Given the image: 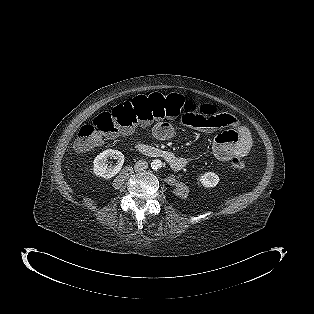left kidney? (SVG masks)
I'll list each match as a JSON object with an SVG mask.
<instances>
[{
    "label": "left kidney",
    "instance_id": "obj_1",
    "mask_svg": "<svg viewBox=\"0 0 314 314\" xmlns=\"http://www.w3.org/2000/svg\"><path fill=\"white\" fill-rule=\"evenodd\" d=\"M219 180V176L213 172H206L200 176V182L206 188L215 187Z\"/></svg>",
    "mask_w": 314,
    "mask_h": 314
}]
</instances>
